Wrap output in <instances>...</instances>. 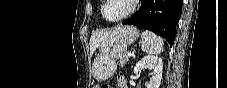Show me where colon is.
Listing matches in <instances>:
<instances>
[{"label": "colon", "instance_id": "colon-1", "mask_svg": "<svg viewBox=\"0 0 227 88\" xmlns=\"http://www.w3.org/2000/svg\"><path fill=\"white\" fill-rule=\"evenodd\" d=\"M96 88H109L107 85L96 86Z\"/></svg>", "mask_w": 227, "mask_h": 88}]
</instances>
